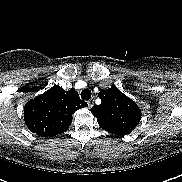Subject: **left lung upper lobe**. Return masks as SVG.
Wrapping results in <instances>:
<instances>
[{"label":"left lung upper lobe","instance_id":"left-lung-upper-lobe-1","mask_svg":"<svg viewBox=\"0 0 182 182\" xmlns=\"http://www.w3.org/2000/svg\"><path fill=\"white\" fill-rule=\"evenodd\" d=\"M100 105L91 108L99 126L115 135L129 134L139 124L141 110L137 104L123 94L116 86L98 93Z\"/></svg>","mask_w":182,"mask_h":182}]
</instances>
